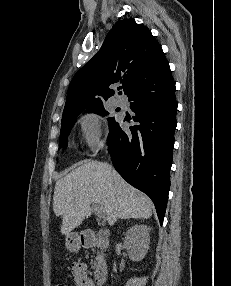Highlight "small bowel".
<instances>
[{"label": "small bowel", "instance_id": "obj_1", "mask_svg": "<svg viewBox=\"0 0 231 286\" xmlns=\"http://www.w3.org/2000/svg\"><path fill=\"white\" fill-rule=\"evenodd\" d=\"M71 273L76 286H96V282L89 275L88 268L84 263L73 262Z\"/></svg>", "mask_w": 231, "mask_h": 286}]
</instances>
